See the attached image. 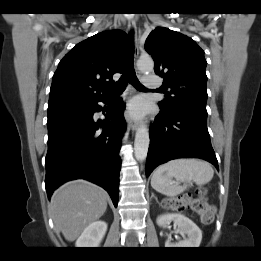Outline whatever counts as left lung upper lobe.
Wrapping results in <instances>:
<instances>
[{"label":"left lung upper lobe","instance_id":"1","mask_svg":"<svg viewBox=\"0 0 261 261\" xmlns=\"http://www.w3.org/2000/svg\"><path fill=\"white\" fill-rule=\"evenodd\" d=\"M145 50L154 60V71L171 88L158 103L163 111L187 105L207 113V62L204 51L190 37L168 28L157 27L146 39Z\"/></svg>","mask_w":261,"mask_h":261}]
</instances>
